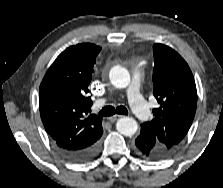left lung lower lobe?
I'll return each mask as SVG.
<instances>
[{
  "mask_svg": "<svg viewBox=\"0 0 223 188\" xmlns=\"http://www.w3.org/2000/svg\"><path fill=\"white\" fill-rule=\"evenodd\" d=\"M135 151L146 158L163 159L168 152L158 145L154 136L145 128L141 127L140 135L135 140Z\"/></svg>",
  "mask_w": 223,
  "mask_h": 188,
  "instance_id": "0a47b994",
  "label": "left lung lower lobe"
}]
</instances>
